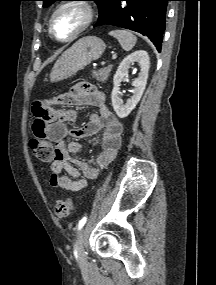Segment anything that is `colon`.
I'll return each mask as SVG.
<instances>
[{
  "instance_id": "5ec220e1",
  "label": "colon",
  "mask_w": 216,
  "mask_h": 285,
  "mask_svg": "<svg viewBox=\"0 0 216 285\" xmlns=\"http://www.w3.org/2000/svg\"><path fill=\"white\" fill-rule=\"evenodd\" d=\"M30 149L33 155L42 162H50L55 158V150L46 136H35L30 140ZM74 210L72 200H58L54 205V213L60 219L67 218Z\"/></svg>"
}]
</instances>
